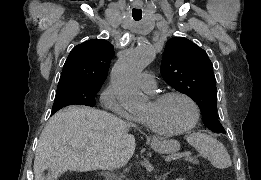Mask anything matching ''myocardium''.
Instances as JSON below:
<instances>
[{"instance_id": "1", "label": "myocardium", "mask_w": 261, "mask_h": 180, "mask_svg": "<svg viewBox=\"0 0 261 180\" xmlns=\"http://www.w3.org/2000/svg\"><path fill=\"white\" fill-rule=\"evenodd\" d=\"M173 96L181 97L190 104L191 109H192V117H191L188 125L186 126L185 129H183L179 133L171 134V135H167V136H157L150 130V128L147 125H145L140 120H137V123L139 125V128H140L142 134L145 137H147L148 139H151V140H153V139H169V140L182 139L187 134H189L192 131V129L196 126V124L199 120V117H200V108H199V105L196 102V100L191 95H189L188 93L181 91V90H168V91H164V92H154V93L150 94V98L154 103H157L159 101H162L164 99H167V98L173 97Z\"/></svg>"}]
</instances>
